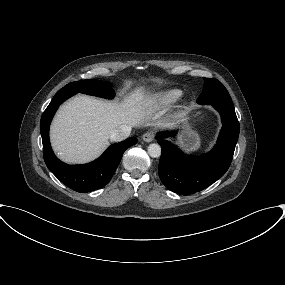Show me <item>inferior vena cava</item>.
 <instances>
[{
	"label": "inferior vena cava",
	"instance_id": "obj_1",
	"mask_svg": "<svg viewBox=\"0 0 285 285\" xmlns=\"http://www.w3.org/2000/svg\"><path fill=\"white\" fill-rule=\"evenodd\" d=\"M131 133V127L128 125H121L120 127L114 129L110 135L112 141H123L129 137Z\"/></svg>",
	"mask_w": 285,
	"mask_h": 285
}]
</instances>
